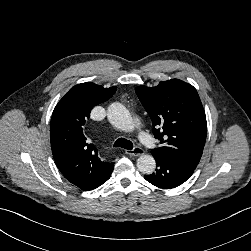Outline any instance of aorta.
Returning <instances> with one entry per match:
<instances>
[{"instance_id": "762f6f07", "label": "aorta", "mask_w": 251, "mask_h": 251, "mask_svg": "<svg viewBox=\"0 0 251 251\" xmlns=\"http://www.w3.org/2000/svg\"><path fill=\"white\" fill-rule=\"evenodd\" d=\"M109 122L116 128L123 131H132L134 121L128 109L121 103H112L107 110ZM137 168L143 174H152L156 168L153 156L145 154L137 159Z\"/></svg>"}]
</instances>
